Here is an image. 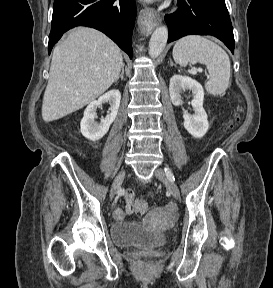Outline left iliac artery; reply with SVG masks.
I'll return each instance as SVG.
<instances>
[{
  "mask_svg": "<svg viewBox=\"0 0 273 288\" xmlns=\"http://www.w3.org/2000/svg\"><path fill=\"white\" fill-rule=\"evenodd\" d=\"M164 170L170 179L175 180L171 170L168 167L164 168Z\"/></svg>",
  "mask_w": 273,
  "mask_h": 288,
  "instance_id": "left-iliac-artery-1",
  "label": "left iliac artery"
}]
</instances>
